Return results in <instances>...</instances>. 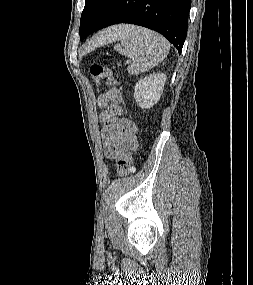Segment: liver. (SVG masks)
Masks as SVG:
<instances>
[{"label": "liver", "instance_id": "1", "mask_svg": "<svg viewBox=\"0 0 253 285\" xmlns=\"http://www.w3.org/2000/svg\"><path fill=\"white\" fill-rule=\"evenodd\" d=\"M128 27H129L128 25H120L103 31L99 36H96L94 38V40L91 42V45H89L88 48L91 49L103 43L114 41L115 38L123 31H125Z\"/></svg>", "mask_w": 253, "mask_h": 285}]
</instances>
